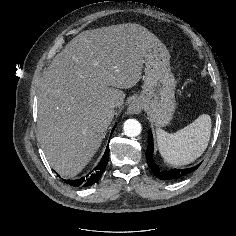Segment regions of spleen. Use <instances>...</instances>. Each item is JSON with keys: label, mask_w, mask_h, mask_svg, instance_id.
I'll return each instance as SVG.
<instances>
[{"label": "spleen", "mask_w": 236, "mask_h": 236, "mask_svg": "<svg viewBox=\"0 0 236 236\" xmlns=\"http://www.w3.org/2000/svg\"><path fill=\"white\" fill-rule=\"evenodd\" d=\"M156 135L163 159L173 165H186L200 157L207 148L211 136V117L202 114L173 134L158 128Z\"/></svg>", "instance_id": "obj_1"}]
</instances>
